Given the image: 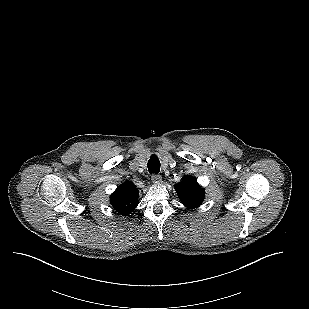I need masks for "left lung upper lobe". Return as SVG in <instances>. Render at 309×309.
I'll return each mask as SVG.
<instances>
[{
	"label": "left lung upper lobe",
	"instance_id": "left-lung-upper-lobe-1",
	"mask_svg": "<svg viewBox=\"0 0 309 309\" xmlns=\"http://www.w3.org/2000/svg\"><path fill=\"white\" fill-rule=\"evenodd\" d=\"M181 203L187 208H197L204 199V189L197 183L196 177L185 176L184 179L175 185Z\"/></svg>",
	"mask_w": 309,
	"mask_h": 309
}]
</instances>
